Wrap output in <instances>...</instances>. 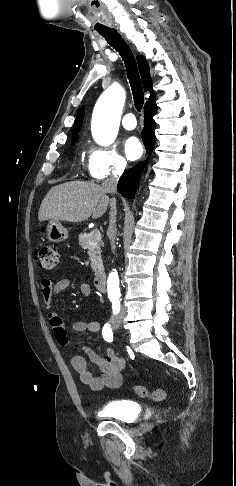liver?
Here are the masks:
<instances>
[{
    "mask_svg": "<svg viewBox=\"0 0 236 486\" xmlns=\"http://www.w3.org/2000/svg\"><path fill=\"white\" fill-rule=\"evenodd\" d=\"M108 191L92 182L72 181L52 187L41 203L40 222L45 220L78 223L92 217L97 219L111 201Z\"/></svg>",
    "mask_w": 236,
    "mask_h": 486,
    "instance_id": "1",
    "label": "liver"
}]
</instances>
